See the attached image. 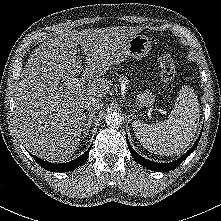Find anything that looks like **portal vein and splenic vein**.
Segmentation results:
<instances>
[{"instance_id":"portal-vein-and-splenic-vein-1","label":"portal vein and splenic vein","mask_w":221,"mask_h":221,"mask_svg":"<svg viewBox=\"0 0 221 221\" xmlns=\"http://www.w3.org/2000/svg\"><path fill=\"white\" fill-rule=\"evenodd\" d=\"M85 83V79L84 78H76L74 80H67L64 85L65 87L69 88L72 85L80 87L81 85H83Z\"/></svg>"}]
</instances>
